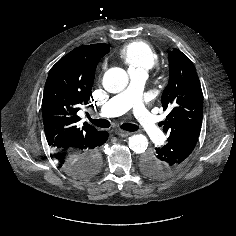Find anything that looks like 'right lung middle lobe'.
<instances>
[{
    "label": "right lung middle lobe",
    "mask_w": 236,
    "mask_h": 236,
    "mask_svg": "<svg viewBox=\"0 0 236 236\" xmlns=\"http://www.w3.org/2000/svg\"><path fill=\"white\" fill-rule=\"evenodd\" d=\"M100 166L97 162H89L86 168V177H92L98 173Z\"/></svg>",
    "instance_id": "1"
}]
</instances>
